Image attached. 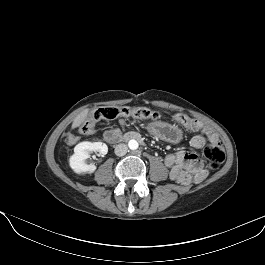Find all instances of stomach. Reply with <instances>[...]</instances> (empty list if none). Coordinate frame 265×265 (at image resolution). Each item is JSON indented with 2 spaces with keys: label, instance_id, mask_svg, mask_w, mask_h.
I'll use <instances>...</instances> for the list:
<instances>
[{
  "label": "stomach",
  "instance_id": "stomach-1",
  "mask_svg": "<svg viewBox=\"0 0 265 265\" xmlns=\"http://www.w3.org/2000/svg\"><path fill=\"white\" fill-rule=\"evenodd\" d=\"M148 132L154 137L169 143H179L182 140V131L164 122H151L147 125Z\"/></svg>",
  "mask_w": 265,
  "mask_h": 265
}]
</instances>
